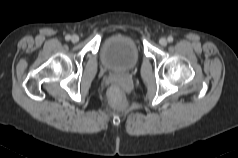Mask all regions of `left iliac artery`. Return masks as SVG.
Listing matches in <instances>:
<instances>
[{
    "label": "left iliac artery",
    "instance_id": "1",
    "mask_svg": "<svg viewBox=\"0 0 238 158\" xmlns=\"http://www.w3.org/2000/svg\"><path fill=\"white\" fill-rule=\"evenodd\" d=\"M168 42H173V37L172 36L168 37Z\"/></svg>",
    "mask_w": 238,
    "mask_h": 158
}]
</instances>
